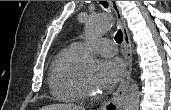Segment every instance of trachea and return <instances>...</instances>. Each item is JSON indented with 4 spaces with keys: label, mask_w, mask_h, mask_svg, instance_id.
<instances>
[{
    "label": "trachea",
    "mask_w": 171,
    "mask_h": 110,
    "mask_svg": "<svg viewBox=\"0 0 171 110\" xmlns=\"http://www.w3.org/2000/svg\"><path fill=\"white\" fill-rule=\"evenodd\" d=\"M100 3L107 8L108 7V3L107 1H100ZM115 41L120 44L123 41V34L121 30H118L116 35H115Z\"/></svg>",
    "instance_id": "trachea-1"
}]
</instances>
